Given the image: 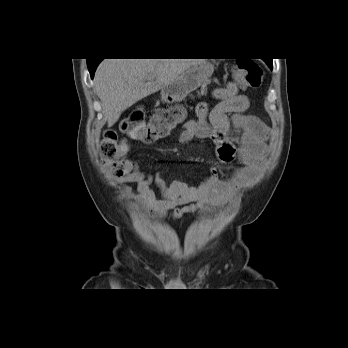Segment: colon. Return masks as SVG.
<instances>
[{
  "mask_svg": "<svg viewBox=\"0 0 348 348\" xmlns=\"http://www.w3.org/2000/svg\"><path fill=\"white\" fill-rule=\"evenodd\" d=\"M235 75L240 85L247 88H258L263 80L262 67L253 60L239 59L235 66ZM184 120V111L179 107L158 109L147 121L143 108H134L121 121L120 129L129 138L153 143L167 136L178 124ZM126 148L118 134L114 131L105 133L101 144L100 153L105 159H113L120 155Z\"/></svg>",
  "mask_w": 348,
  "mask_h": 348,
  "instance_id": "obj_1",
  "label": "colon"
}]
</instances>
